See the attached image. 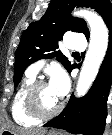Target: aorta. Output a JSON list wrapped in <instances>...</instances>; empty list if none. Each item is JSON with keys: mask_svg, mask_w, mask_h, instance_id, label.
<instances>
[{"mask_svg": "<svg viewBox=\"0 0 112 135\" xmlns=\"http://www.w3.org/2000/svg\"><path fill=\"white\" fill-rule=\"evenodd\" d=\"M74 16L84 18L90 28L89 47L83 61L76 87V96H84L92 86L108 48V29L103 19L95 12L79 10Z\"/></svg>", "mask_w": 112, "mask_h": 135, "instance_id": "762f6f07", "label": "aorta"}]
</instances>
